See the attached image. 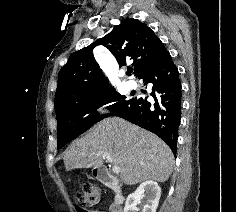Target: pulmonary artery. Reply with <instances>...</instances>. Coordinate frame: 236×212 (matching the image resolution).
<instances>
[{
	"mask_svg": "<svg viewBox=\"0 0 236 212\" xmlns=\"http://www.w3.org/2000/svg\"><path fill=\"white\" fill-rule=\"evenodd\" d=\"M126 87H127L129 90L136 89L137 83H136L134 80H128V81H126Z\"/></svg>",
	"mask_w": 236,
	"mask_h": 212,
	"instance_id": "pulmonary-artery-1",
	"label": "pulmonary artery"
}]
</instances>
